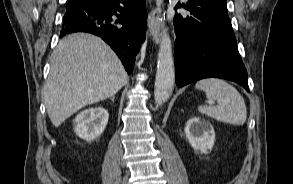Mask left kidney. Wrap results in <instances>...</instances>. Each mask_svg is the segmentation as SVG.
<instances>
[{
	"mask_svg": "<svg viewBox=\"0 0 293 184\" xmlns=\"http://www.w3.org/2000/svg\"><path fill=\"white\" fill-rule=\"evenodd\" d=\"M185 134L194 151L207 154L215 142V131L211 123L200 117L190 118L185 127Z\"/></svg>",
	"mask_w": 293,
	"mask_h": 184,
	"instance_id": "1",
	"label": "left kidney"
}]
</instances>
